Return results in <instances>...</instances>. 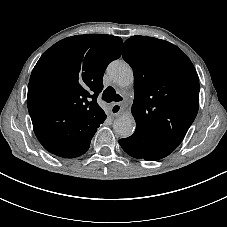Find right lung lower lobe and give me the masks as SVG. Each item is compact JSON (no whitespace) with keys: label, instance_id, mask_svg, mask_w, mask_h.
<instances>
[{"label":"right lung lower lobe","instance_id":"obj_1","mask_svg":"<svg viewBox=\"0 0 227 227\" xmlns=\"http://www.w3.org/2000/svg\"><path fill=\"white\" fill-rule=\"evenodd\" d=\"M53 154V153H52ZM56 155V154H55ZM59 156V155H57ZM60 157H65V158H73V157H69V156H60Z\"/></svg>","mask_w":227,"mask_h":227}]
</instances>
